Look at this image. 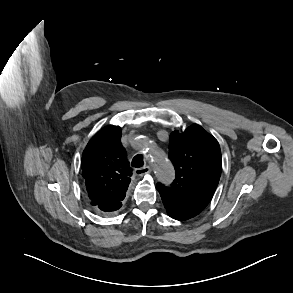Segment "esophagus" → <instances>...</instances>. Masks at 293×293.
I'll use <instances>...</instances> for the list:
<instances>
[{"mask_svg":"<svg viewBox=\"0 0 293 293\" xmlns=\"http://www.w3.org/2000/svg\"><path fill=\"white\" fill-rule=\"evenodd\" d=\"M150 172H151V169H150L149 166L137 168L134 171L135 175H137V176H143V175H146V174H148Z\"/></svg>","mask_w":293,"mask_h":293,"instance_id":"obj_1","label":"esophagus"}]
</instances>
